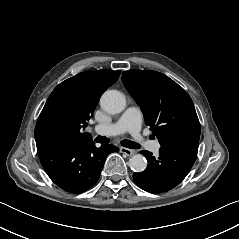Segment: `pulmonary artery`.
Returning <instances> with one entry per match:
<instances>
[{"mask_svg":"<svg viewBox=\"0 0 239 239\" xmlns=\"http://www.w3.org/2000/svg\"><path fill=\"white\" fill-rule=\"evenodd\" d=\"M141 129V112L135 106L128 107L121 115L119 120L110 124H97L94 126V132L100 135H120L129 132L135 138H139ZM160 144L154 142L151 150L155 153L158 152Z\"/></svg>","mask_w":239,"mask_h":239,"instance_id":"e3ab8cb5","label":"pulmonary artery"}]
</instances>
